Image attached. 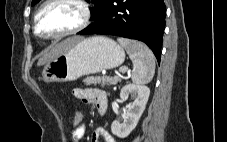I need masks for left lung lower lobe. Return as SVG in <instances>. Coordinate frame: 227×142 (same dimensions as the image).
Masks as SVG:
<instances>
[{
    "instance_id": "0a47b994",
    "label": "left lung lower lobe",
    "mask_w": 227,
    "mask_h": 142,
    "mask_svg": "<svg viewBox=\"0 0 227 142\" xmlns=\"http://www.w3.org/2000/svg\"><path fill=\"white\" fill-rule=\"evenodd\" d=\"M163 0H108L95 22L78 34H106L146 43L158 62L165 28Z\"/></svg>"
}]
</instances>
